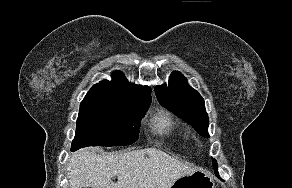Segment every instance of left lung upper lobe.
<instances>
[{
  "label": "left lung upper lobe",
  "mask_w": 292,
  "mask_h": 188,
  "mask_svg": "<svg viewBox=\"0 0 292 188\" xmlns=\"http://www.w3.org/2000/svg\"><path fill=\"white\" fill-rule=\"evenodd\" d=\"M155 91L162 105L191 124L201 136L209 137L207 131L209 120L204 100L188 85L186 78L180 72L174 71L169 78L168 86L166 84L156 86ZM213 166L214 170H217L215 159Z\"/></svg>",
  "instance_id": "5c2ea615"
}]
</instances>
